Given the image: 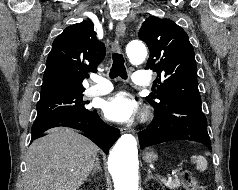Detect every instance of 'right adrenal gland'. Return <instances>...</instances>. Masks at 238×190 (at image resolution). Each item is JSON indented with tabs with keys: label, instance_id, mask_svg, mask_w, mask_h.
<instances>
[{
	"label": "right adrenal gland",
	"instance_id": "1",
	"mask_svg": "<svg viewBox=\"0 0 238 190\" xmlns=\"http://www.w3.org/2000/svg\"><path fill=\"white\" fill-rule=\"evenodd\" d=\"M97 171H99V172L102 171L98 157L95 160V164H94L91 176H93L95 173H97Z\"/></svg>",
	"mask_w": 238,
	"mask_h": 190
}]
</instances>
